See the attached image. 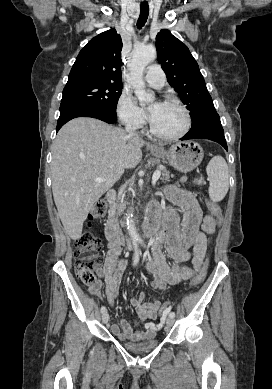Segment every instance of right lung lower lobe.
<instances>
[{
  "label": "right lung lower lobe",
  "mask_w": 272,
  "mask_h": 389,
  "mask_svg": "<svg viewBox=\"0 0 272 389\" xmlns=\"http://www.w3.org/2000/svg\"><path fill=\"white\" fill-rule=\"evenodd\" d=\"M76 117H92L107 123H114L117 120L116 113L106 111L97 105L86 102H62L60 104V117L57 122L58 130L69 120Z\"/></svg>",
  "instance_id": "obj_1"
}]
</instances>
